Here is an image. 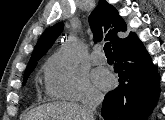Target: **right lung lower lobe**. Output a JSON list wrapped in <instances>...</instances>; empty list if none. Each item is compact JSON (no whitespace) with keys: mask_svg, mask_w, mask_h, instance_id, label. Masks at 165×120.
I'll return each mask as SVG.
<instances>
[{"mask_svg":"<svg viewBox=\"0 0 165 120\" xmlns=\"http://www.w3.org/2000/svg\"><path fill=\"white\" fill-rule=\"evenodd\" d=\"M119 86L106 94L105 120H146L159 99V74L138 37L114 50Z\"/></svg>","mask_w":165,"mask_h":120,"instance_id":"obj_1","label":"right lung lower lobe"}]
</instances>
